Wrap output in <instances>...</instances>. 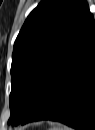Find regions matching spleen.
Instances as JSON below:
<instances>
[{
    "instance_id": "spleen-1",
    "label": "spleen",
    "mask_w": 95,
    "mask_h": 130,
    "mask_svg": "<svg viewBox=\"0 0 95 130\" xmlns=\"http://www.w3.org/2000/svg\"><path fill=\"white\" fill-rule=\"evenodd\" d=\"M51 130H69V128H67L66 126H60V127L52 128Z\"/></svg>"
}]
</instances>
